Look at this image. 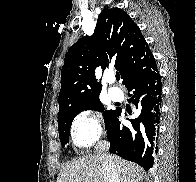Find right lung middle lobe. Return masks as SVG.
I'll return each instance as SVG.
<instances>
[{
	"label": "right lung middle lobe",
	"mask_w": 196,
	"mask_h": 182,
	"mask_svg": "<svg viewBox=\"0 0 196 182\" xmlns=\"http://www.w3.org/2000/svg\"><path fill=\"white\" fill-rule=\"evenodd\" d=\"M84 110H95L102 112L104 110V106L99 100V97L91 99L84 104L79 106L70 108L63 114L58 116V129H59V138L61 141L62 146L69 142V134H70V127L74 117L84 111ZM116 110H109L103 112V116L105 119V126L106 128L110 124L111 119L113 118Z\"/></svg>",
	"instance_id": "1"
}]
</instances>
